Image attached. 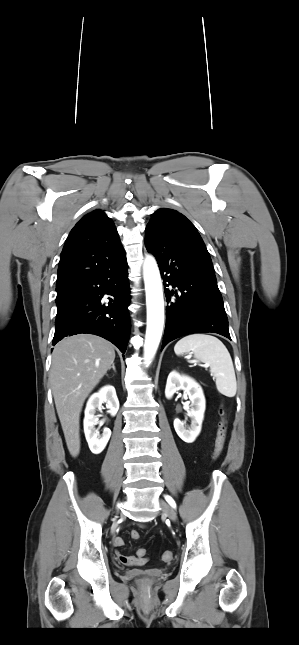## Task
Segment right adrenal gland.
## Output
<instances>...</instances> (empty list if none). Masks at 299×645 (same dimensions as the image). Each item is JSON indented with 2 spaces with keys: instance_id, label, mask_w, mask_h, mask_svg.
Returning a JSON list of instances; mask_svg holds the SVG:
<instances>
[{
  "instance_id": "1",
  "label": "right adrenal gland",
  "mask_w": 299,
  "mask_h": 645,
  "mask_svg": "<svg viewBox=\"0 0 299 645\" xmlns=\"http://www.w3.org/2000/svg\"><path fill=\"white\" fill-rule=\"evenodd\" d=\"M111 368L113 369V371H114V372H116L115 364H114V363L112 364Z\"/></svg>"
}]
</instances>
